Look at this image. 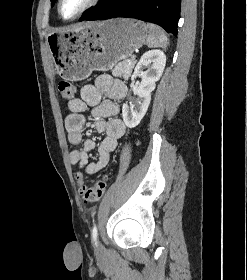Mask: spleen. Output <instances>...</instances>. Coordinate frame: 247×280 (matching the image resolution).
Instances as JSON below:
<instances>
[{"label":"spleen","mask_w":247,"mask_h":280,"mask_svg":"<svg viewBox=\"0 0 247 280\" xmlns=\"http://www.w3.org/2000/svg\"><path fill=\"white\" fill-rule=\"evenodd\" d=\"M147 27L149 29V35L146 40L147 46L166 48L168 44V38L166 37L164 31L152 23H148Z\"/></svg>","instance_id":"3e777b00"}]
</instances>
